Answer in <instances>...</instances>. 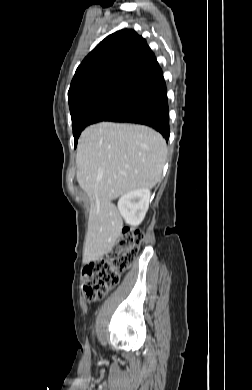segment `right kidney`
I'll use <instances>...</instances> for the list:
<instances>
[{
    "instance_id": "right-kidney-1",
    "label": "right kidney",
    "mask_w": 252,
    "mask_h": 390,
    "mask_svg": "<svg viewBox=\"0 0 252 390\" xmlns=\"http://www.w3.org/2000/svg\"><path fill=\"white\" fill-rule=\"evenodd\" d=\"M150 190L137 189L121 196L118 201V210L126 223L136 227L144 219L149 207Z\"/></svg>"
}]
</instances>
